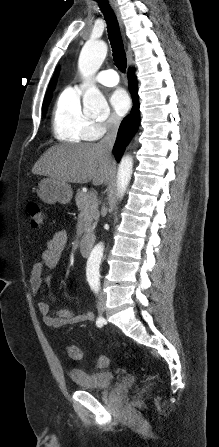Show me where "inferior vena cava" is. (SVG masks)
<instances>
[{
  "label": "inferior vena cava",
  "instance_id": "inferior-vena-cava-1",
  "mask_svg": "<svg viewBox=\"0 0 219 447\" xmlns=\"http://www.w3.org/2000/svg\"><path fill=\"white\" fill-rule=\"evenodd\" d=\"M119 124L120 118L114 116L111 120V124L107 130L105 137L99 142V145L104 149L108 156H111L113 145L117 137Z\"/></svg>",
  "mask_w": 219,
  "mask_h": 447
}]
</instances>
